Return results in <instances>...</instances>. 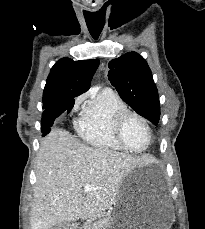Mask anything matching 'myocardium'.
<instances>
[{
  "instance_id": "f54148a6",
  "label": "myocardium",
  "mask_w": 205,
  "mask_h": 229,
  "mask_svg": "<svg viewBox=\"0 0 205 229\" xmlns=\"http://www.w3.org/2000/svg\"><path fill=\"white\" fill-rule=\"evenodd\" d=\"M131 118H135V119L139 120L147 130L148 142H147L146 146L142 149H135V148L131 147L126 142V140L124 138V134H123L124 127H125L126 123ZM114 132H115V136H116L117 140L119 141V143L123 147H125L127 150H129L131 152H135V153L145 152L150 147V145L152 143V139H153L152 129H151L149 122L142 115L138 114L137 112L131 111L129 109L122 111L121 113L118 114L116 121H115Z\"/></svg>"
}]
</instances>
